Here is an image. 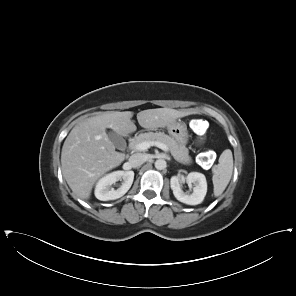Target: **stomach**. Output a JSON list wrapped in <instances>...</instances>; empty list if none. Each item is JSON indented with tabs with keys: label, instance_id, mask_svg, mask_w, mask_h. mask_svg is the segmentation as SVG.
<instances>
[{
	"label": "stomach",
	"instance_id": "0dacf381",
	"mask_svg": "<svg viewBox=\"0 0 296 296\" xmlns=\"http://www.w3.org/2000/svg\"><path fill=\"white\" fill-rule=\"evenodd\" d=\"M168 133L180 144L186 145L188 142V130L184 123L174 122L167 126Z\"/></svg>",
	"mask_w": 296,
	"mask_h": 296
}]
</instances>
